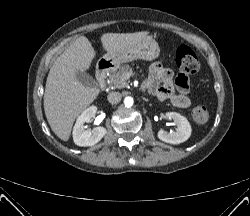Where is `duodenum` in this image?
Returning <instances> with one entry per match:
<instances>
[{
  "instance_id": "1",
  "label": "duodenum",
  "mask_w": 250,
  "mask_h": 216,
  "mask_svg": "<svg viewBox=\"0 0 250 216\" xmlns=\"http://www.w3.org/2000/svg\"><path fill=\"white\" fill-rule=\"evenodd\" d=\"M112 67L109 61H101L97 67V79L102 89L106 88V80L108 73Z\"/></svg>"
}]
</instances>
